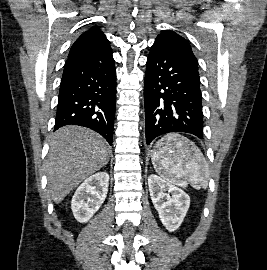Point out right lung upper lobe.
Listing matches in <instances>:
<instances>
[{"label":"right lung upper lobe","mask_w":267,"mask_h":270,"mask_svg":"<svg viewBox=\"0 0 267 270\" xmlns=\"http://www.w3.org/2000/svg\"><path fill=\"white\" fill-rule=\"evenodd\" d=\"M109 44L108 39L98 27L84 32L72 45L68 58Z\"/></svg>","instance_id":"cb5924a9"}]
</instances>
